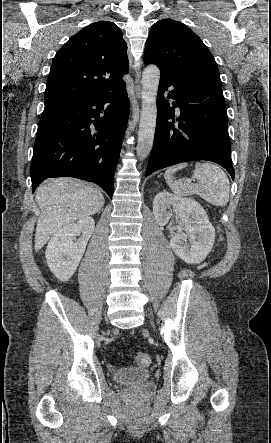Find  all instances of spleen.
<instances>
[{
  "label": "spleen",
  "instance_id": "spleen-1",
  "mask_svg": "<svg viewBox=\"0 0 271 443\" xmlns=\"http://www.w3.org/2000/svg\"><path fill=\"white\" fill-rule=\"evenodd\" d=\"M188 164H177L168 168L164 174V178L171 188L172 192L181 198V196H193L197 194L212 206H226L229 202L230 186L229 180L215 164H195L193 178L200 180V184H183V182H174L173 174L178 170L187 168Z\"/></svg>",
  "mask_w": 271,
  "mask_h": 443
}]
</instances>
